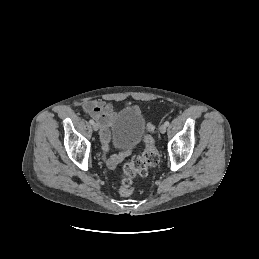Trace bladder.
<instances>
[{
	"mask_svg": "<svg viewBox=\"0 0 259 259\" xmlns=\"http://www.w3.org/2000/svg\"><path fill=\"white\" fill-rule=\"evenodd\" d=\"M145 132L146 124L142 114L124 109L113 120L111 141L117 148H133L142 141Z\"/></svg>",
	"mask_w": 259,
	"mask_h": 259,
	"instance_id": "1",
	"label": "bladder"
}]
</instances>
